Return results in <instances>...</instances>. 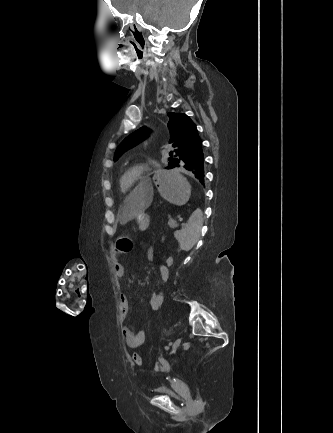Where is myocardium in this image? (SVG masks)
<instances>
[{
    "label": "myocardium",
    "instance_id": "obj_1",
    "mask_svg": "<svg viewBox=\"0 0 333 433\" xmlns=\"http://www.w3.org/2000/svg\"><path fill=\"white\" fill-rule=\"evenodd\" d=\"M144 171H145L144 165L131 166L122 174V176L120 177V180H123V179L127 180V178H129V176L136 175L138 177L137 181H142L141 175L144 173ZM127 184H128V191H130L133 188L134 184H132L131 181L128 182Z\"/></svg>",
    "mask_w": 333,
    "mask_h": 433
}]
</instances>
